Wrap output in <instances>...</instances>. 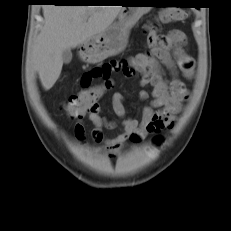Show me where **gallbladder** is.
I'll use <instances>...</instances> for the list:
<instances>
[{
	"label": "gallbladder",
	"instance_id": "bac80fb5",
	"mask_svg": "<svg viewBox=\"0 0 231 231\" xmlns=\"http://www.w3.org/2000/svg\"><path fill=\"white\" fill-rule=\"evenodd\" d=\"M62 60L64 64H69L72 60V53L70 49H65L62 53Z\"/></svg>",
	"mask_w": 231,
	"mask_h": 231
}]
</instances>
